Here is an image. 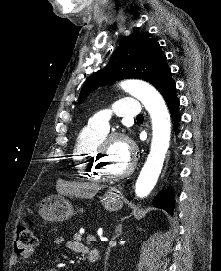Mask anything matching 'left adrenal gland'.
I'll return each instance as SVG.
<instances>
[{
    "mask_svg": "<svg viewBox=\"0 0 221 271\" xmlns=\"http://www.w3.org/2000/svg\"><path fill=\"white\" fill-rule=\"evenodd\" d=\"M119 221H120V223H118V225H116L114 237H119V235H121V233H122V221H123V219H119Z\"/></svg>",
    "mask_w": 221,
    "mask_h": 271,
    "instance_id": "1",
    "label": "left adrenal gland"
}]
</instances>
